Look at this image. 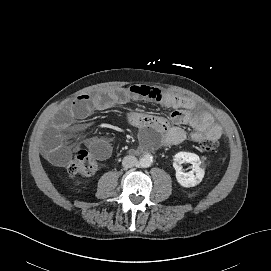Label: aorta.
I'll return each instance as SVG.
<instances>
[{"mask_svg":"<svg viewBox=\"0 0 271 271\" xmlns=\"http://www.w3.org/2000/svg\"><path fill=\"white\" fill-rule=\"evenodd\" d=\"M153 163V157L150 154L143 155L139 160V165L143 168H148Z\"/></svg>","mask_w":271,"mask_h":271,"instance_id":"1","label":"aorta"}]
</instances>
